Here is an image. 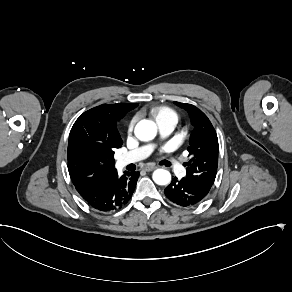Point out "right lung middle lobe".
Wrapping results in <instances>:
<instances>
[{
	"instance_id": "right-lung-middle-lobe-1",
	"label": "right lung middle lobe",
	"mask_w": 292,
	"mask_h": 292,
	"mask_svg": "<svg viewBox=\"0 0 292 292\" xmlns=\"http://www.w3.org/2000/svg\"><path fill=\"white\" fill-rule=\"evenodd\" d=\"M113 154H114V152H110V153L107 152V154H106V156H105L104 158H105V159H109V160L112 161V160H114L113 157H112Z\"/></svg>"
}]
</instances>
